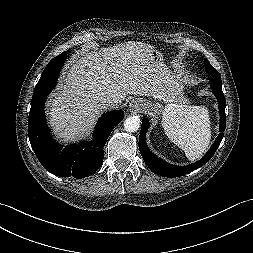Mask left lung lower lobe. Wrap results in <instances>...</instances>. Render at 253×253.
Masks as SVG:
<instances>
[{
	"label": "left lung lower lobe",
	"mask_w": 253,
	"mask_h": 253,
	"mask_svg": "<svg viewBox=\"0 0 253 253\" xmlns=\"http://www.w3.org/2000/svg\"><path fill=\"white\" fill-rule=\"evenodd\" d=\"M212 78L210 79L211 87L213 90L214 95L216 96L219 104V112H220V134L218 135L217 139L206 153V155L197 161L196 163L187 165V166H175L171 165L164 160L158 158L155 154H153L145 140V135L149 127V121L147 119L142 120L141 131L139 135V150L140 153L146 163V165L156 174L165 176V177H178L185 175L189 172H192L200 167H202L205 163H207L211 157L216 152L217 148L219 147L222 138L224 136L225 126H226V115H225V98L222 92L221 87V77L219 75H211Z\"/></svg>",
	"instance_id": "left-lung-lower-lobe-1"
}]
</instances>
